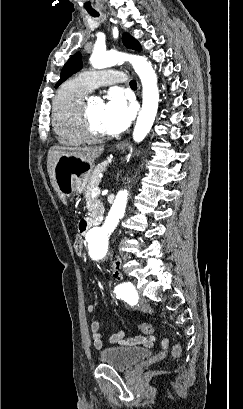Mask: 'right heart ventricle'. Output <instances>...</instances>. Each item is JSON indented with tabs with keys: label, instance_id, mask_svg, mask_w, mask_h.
<instances>
[{
	"label": "right heart ventricle",
	"instance_id": "obj_1",
	"mask_svg": "<svg viewBox=\"0 0 243 409\" xmlns=\"http://www.w3.org/2000/svg\"><path fill=\"white\" fill-rule=\"evenodd\" d=\"M90 91L80 77L66 80L58 89L52 103V125L61 143L77 146L87 140L81 126L80 107Z\"/></svg>",
	"mask_w": 243,
	"mask_h": 409
}]
</instances>
